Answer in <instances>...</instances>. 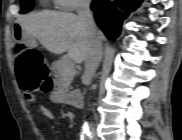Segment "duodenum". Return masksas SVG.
Masks as SVG:
<instances>
[{
    "mask_svg": "<svg viewBox=\"0 0 182 140\" xmlns=\"http://www.w3.org/2000/svg\"><path fill=\"white\" fill-rule=\"evenodd\" d=\"M67 103L77 108L81 107L83 105V97L78 93H74L67 99Z\"/></svg>",
    "mask_w": 182,
    "mask_h": 140,
    "instance_id": "410a0bca",
    "label": "duodenum"
}]
</instances>
